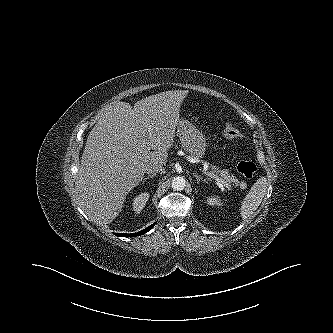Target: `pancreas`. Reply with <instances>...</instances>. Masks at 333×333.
I'll return each mask as SVG.
<instances>
[{
    "mask_svg": "<svg viewBox=\"0 0 333 333\" xmlns=\"http://www.w3.org/2000/svg\"><path fill=\"white\" fill-rule=\"evenodd\" d=\"M189 158H194V159H197V157H195L194 155L192 154H189L188 155ZM211 169H212V172L214 173H218L220 174V176L223 178V180L225 182H228V183H238V179L236 177H234L233 175H230L229 171L228 170H219V168H217L216 166H211Z\"/></svg>",
    "mask_w": 333,
    "mask_h": 333,
    "instance_id": "cf45deb5",
    "label": "pancreas"
}]
</instances>
